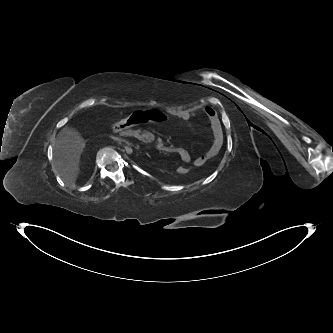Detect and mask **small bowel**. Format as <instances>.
Segmentation results:
<instances>
[{"mask_svg":"<svg viewBox=\"0 0 333 333\" xmlns=\"http://www.w3.org/2000/svg\"><path fill=\"white\" fill-rule=\"evenodd\" d=\"M204 113L206 114L210 122L213 140L209 148L201 156L195 158L194 165L197 167L203 166L207 161L214 158L219 153L223 142V134L217 112L210 107H206L204 109ZM195 115L196 111L194 110H184L179 112L176 115V118L182 121H187L190 118L194 117ZM173 151L180 157L182 162L184 163L190 162L191 155L186 149L178 147L174 148Z\"/></svg>","mask_w":333,"mask_h":333,"instance_id":"1","label":"small bowel"}]
</instances>
